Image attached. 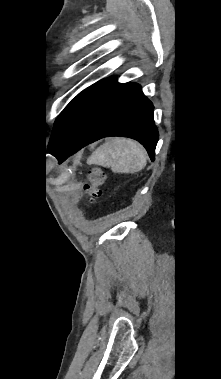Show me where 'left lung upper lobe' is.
Wrapping results in <instances>:
<instances>
[{
  "label": "left lung upper lobe",
  "instance_id": "5c2ea615",
  "mask_svg": "<svg viewBox=\"0 0 221 379\" xmlns=\"http://www.w3.org/2000/svg\"><path fill=\"white\" fill-rule=\"evenodd\" d=\"M115 78L102 80L78 94L57 118L48 144V152L55 154L66 142L77 124L93 107Z\"/></svg>",
  "mask_w": 221,
  "mask_h": 379
}]
</instances>
